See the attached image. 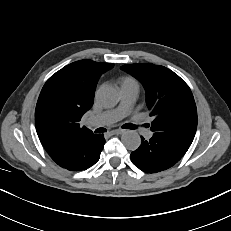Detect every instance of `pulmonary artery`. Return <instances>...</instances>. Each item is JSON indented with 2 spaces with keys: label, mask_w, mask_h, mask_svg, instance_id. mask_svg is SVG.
<instances>
[{
  "label": "pulmonary artery",
  "mask_w": 231,
  "mask_h": 231,
  "mask_svg": "<svg viewBox=\"0 0 231 231\" xmlns=\"http://www.w3.org/2000/svg\"><path fill=\"white\" fill-rule=\"evenodd\" d=\"M137 88H125L121 90L122 101L120 105L113 110H108L90 117L87 120V125L90 127H101L105 125H110L121 118H123L131 109L133 103L138 96ZM142 134L145 138L149 139L152 134L148 130H143Z\"/></svg>",
  "instance_id": "obj_1"
}]
</instances>
